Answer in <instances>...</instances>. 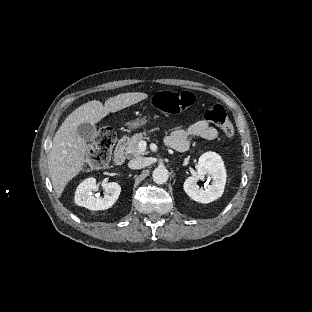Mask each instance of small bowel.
Listing matches in <instances>:
<instances>
[{
  "instance_id": "small-bowel-1",
  "label": "small bowel",
  "mask_w": 312,
  "mask_h": 312,
  "mask_svg": "<svg viewBox=\"0 0 312 312\" xmlns=\"http://www.w3.org/2000/svg\"><path fill=\"white\" fill-rule=\"evenodd\" d=\"M217 130L205 120H198L183 129L175 127L166 138V144L178 151L185 152L190 147V137L197 136L206 140L217 137Z\"/></svg>"
}]
</instances>
